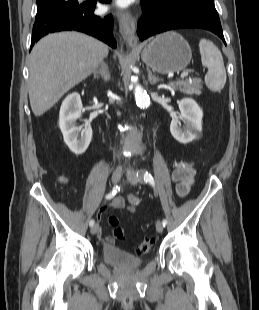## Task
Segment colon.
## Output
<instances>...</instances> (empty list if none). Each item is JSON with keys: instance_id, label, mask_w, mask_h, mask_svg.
<instances>
[{"instance_id": "1", "label": "colon", "mask_w": 259, "mask_h": 310, "mask_svg": "<svg viewBox=\"0 0 259 310\" xmlns=\"http://www.w3.org/2000/svg\"><path fill=\"white\" fill-rule=\"evenodd\" d=\"M65 179L62 178L61 181H64ZM109 225L113 227V237L115 239L121 240L124 238V230L119 227V220L116 216H110L108 219ZM155 244L154 238H146L139 242L136 246V253L143 255L149 253Z\"/></svg>"}]
</instances>
